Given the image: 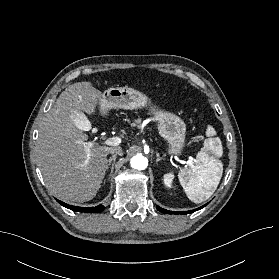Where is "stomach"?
Segmentation results:
<instances>
[{"mask_svg": "<svg viewBox=\"0 0 279 279\" xmlns=\"http://www.w3.org/2000/svg\"><path fill=\"white\" fill-rule=\"evenodd\" d=\"M102 114L110 109H141L149 106L150 114L157 123L159 135L168 144V153L181 154L186 136V125L177 115L153 106L144 93L131 87H112L105 90L99 99Z\"/></svg>", "mask_w": 279, "mask_h": 279, "instance_id": "0dacf381", "label": "stomach"}]
</instances>
